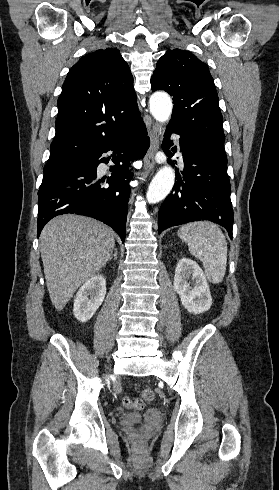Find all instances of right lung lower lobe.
I'll return each mask as SVG.
<instances>
[{"mask_svg": "<svg viewBox=\"0 0 279 490\" xmlns=\"http://www.w3.org/2000/svg\"><path fill=\"white\" fill-rule=\"evenodd\" d=\"M144 124L112 139L63 172L42 181L38 191V236L53 217L75 213L98 219L112 227L125 240L130 162L142 158L150 145ZM113 151L111 177L97 178V167L111 157L102 154Z\"/></svg>", "mask_w": 279, "mask_h": 490, "instance_id": "1", "label": "right lung lower lobe"}]
</instances>
